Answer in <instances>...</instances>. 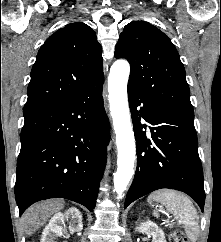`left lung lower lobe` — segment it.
<instances>
[{
	"instance_id": "left-lung-lower-lobe-1",
	"label": "left lung lower lobe",
	"mask_w": 221,
	"mask_h": 242,
	"mask_svg": "<svg viewBox=\"0 0 221 242\" xmlns=\"http://www.w3.org/2000/svg\"><path fill=\"white\" fill-rule=\"evenodd\" d=\"M128 99L137 168L124 208L154 190L169 188L188 194L203 211L204 180L194 118L155 106L130 87ZM141 103L143 107L138 109ZM141 118L152 125L150 135L142 130L146 125L140 123Z\"/></svg>"
}]
</instances>
